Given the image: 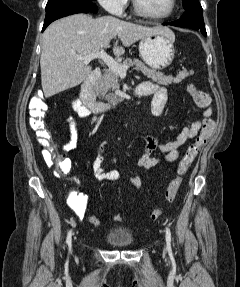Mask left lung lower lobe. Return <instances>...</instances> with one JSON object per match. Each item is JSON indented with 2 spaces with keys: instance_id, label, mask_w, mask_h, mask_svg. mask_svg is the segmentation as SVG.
<instances>
[{
  "instance_id": "0a47b994",
  "label": "left lung lower lobe",
  "mask_w": 240,
  "mask_h": 287,
  "mask_svg": "<svg viewBox=\"0 0 240 287\" xmlns=\"http://www.w3.org/2000/svg\"><path fill=\"white\" fill-rule=\"evenodd\" d=\"M184 9L186 12L179 20L170 23H163V25L188 27L191 29L199 30L204 36H207L203 20V11L200 3L191 4Z\"/></svg>"
}]
</instances>
